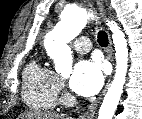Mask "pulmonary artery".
<instances>
[{
  "mask_svg": "<svg viewBox=\"0 0 142 119\" xmlns=\"http://www.w3.org/2000/svg\"><path fill=\"white\" fill-rule=\"evenodd\" d=\"M73 47L79 53H86L92 48V43L88 37H79L73 43Z\"/></svg>",
  "mask_w": 142,
  "mask_h": 119,
  "instance_id": "1",
  "label": "pulmonary artery"
}]
</instances>
